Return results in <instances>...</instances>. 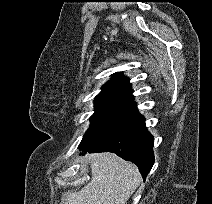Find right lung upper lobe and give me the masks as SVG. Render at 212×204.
I'll return each mask as SVG.
<instances>
[{
  "label": "right lung upper lobe",
  "instance_id": "obj_1",
  "mask_svg": "<svg viewBox=\"0 0 212 204\" xmlns=\"http://www.w3.org/2000/svg\"><path fill=\"white\" fill-rule=\"evenodd\" d=\"M96 101H119L135 104L129 78L115 73L112 79L102 87V91L96 96Z\"/></svg>",
  "mask_w": 212,
  "mask_h": 204
}]
</instances>
